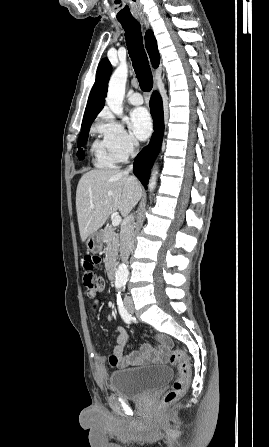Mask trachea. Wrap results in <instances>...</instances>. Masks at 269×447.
Listing matches in <instances>:
<instances>
[{"instance_id": "trachea-1", "label": "trachea", "mask_w": 269, "mask_h": 447, "mask_svg": "<svg viewBox=\"0 0 269 447\" xmlns=\"http://www.w3.org/2000/svg\"><path fill=\"white\" fill-rule=\"evenodd\" d=\"M120 23L125 30L128 52L136 72L140 88L144 92H149L153 87V78L143 46L141 26L136 20Z\"/></svg>"}]
</instances>
